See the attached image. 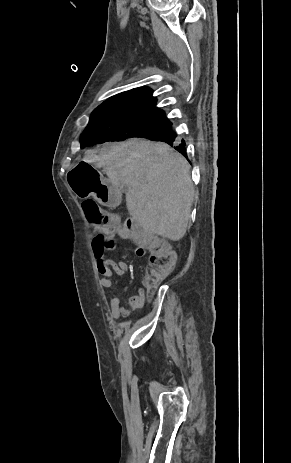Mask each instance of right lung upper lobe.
Returning a JSON list of instances; mask_svg holds the SVG:
<instances>
[{"label":"right lung upper lobe","mask_w":291,"mask_h":463,"mask_svg":"<svg viewBox=\"0 0 291 463\" xmlns=\"http://www.w3.org/2000/svg\"><path fill=\"white\" fill-rule=\"evenodd\" d=\"M149 88H136L110 97L95 110L113 114L149 116L167 120L162 110L156 107V98Z\"/></svg>","instance_id":"obj_1"}]
</instances>
